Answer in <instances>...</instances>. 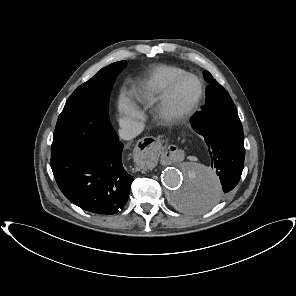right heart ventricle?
I'll return each mask as SVG.
<instances>
[{
    "label": "right heart ventricle",
    "instance_id": "1",
    "mask_svg": "<svg viewBox=\"0 0 296 296\" xmlns=\"http://www.w3.org/2000/svg\"><path fill=\"white\" fill-rule=\"evenodd\" d=\"M185 73L183 69L174 66L154 68L143 84L133 91V102L144 105L156 101L174 79Z\"/></svg>",
    "mask_w": 296,
    "mask_h": 296
}]
</instances>
